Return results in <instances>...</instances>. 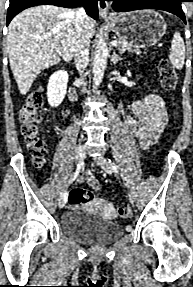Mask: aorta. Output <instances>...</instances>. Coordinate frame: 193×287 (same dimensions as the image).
I'll list each match as a JSON object with an SVG mask.
<instances>
[{"label":"aorta","instance_id":"762f6f07","mask_svg":"<svg viewBox=\"0 0 193 287\" xmlns=\"http://www.w3.org/2000/svg\"><path fill=\"white\" fill-rule=\"evenodd\" d=\"M108 49L103 38H100L96 47L93 61V83L98 87L103 79L107 65Z\"/></svg>","mask_w":193,"mask_h":287}]
</instances>
